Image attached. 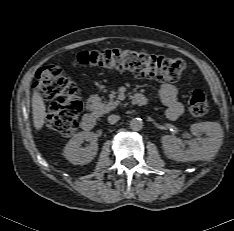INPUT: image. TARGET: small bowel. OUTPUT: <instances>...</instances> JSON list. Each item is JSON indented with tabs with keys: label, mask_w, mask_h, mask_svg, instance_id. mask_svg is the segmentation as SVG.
Listing matches in <instances>:
<instances>
[{
	"label": "small bowel",
	"mask_w": 234,
	"mask_h": 231,
	"mask_svg": "<svg viewBox=\"0 0 234 231\" xmlns=\"http://www.w3.org/2000/svg\"><path fill=\"white\" fill-rule=\"evenodd\" d=\"M142 95V94H141ZM158 99L167 106L166 117L170 121H176L183 113V105L178 99V89L172 84H162L159 88Z\"/></svg>",
	"instance_id": "small-bowel-1"
}]
</instances>
